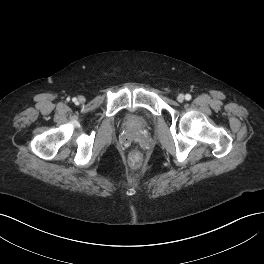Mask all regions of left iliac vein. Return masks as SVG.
<instances>
[{
  "label": "left iliac vein",
  "instance_id": "left-iliac-vein-1",
  "mask_svg": "<svg viewBox=\"0 0 264 264\" xmlns=\"http://www.w3.org/2000/svg\"><path fill=\"white\" fill-rule=\"evenodd\" d=\"M184 95L183 94H179L177 97L178 102H183L184 101Z\"/></svg>",
  "mask_w": 264,
  "mask_h": 264
}]
</instances>
